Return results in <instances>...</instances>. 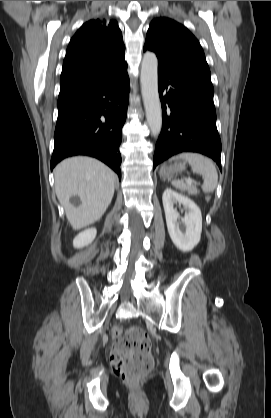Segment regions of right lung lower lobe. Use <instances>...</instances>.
I'll use <instances>...</instances> for the list:
<instances>
[{"mask_svg": "<svg viewBox=\"0 0 271 418\" xmlns=\"http://www.w3.org/2000/svg\"><path fill=\"white\" fill-rule=\"evenodd\" d=\"M128 93L125 67L94 91L58 104L51 170L66 157L88 155L106 163L121 178L119 146Z\"/></svg>", "mask_w": 271, "mask_h": 418, "instance_id": "98d812e1", "label": "right lung lower lobe"}]
</instances>
